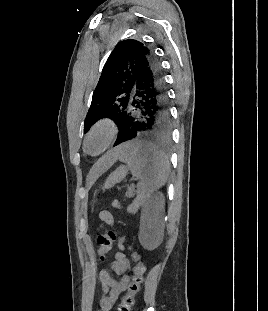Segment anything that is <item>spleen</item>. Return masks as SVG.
Listing matches in <instances>:
<instances>
[{
    "label": "spleen",
    "instance_id": "spleen-1",
    "mask_svg": "<svg viewBox=\"0 0 268 311\" xmlns=\"http://www.w3.org/2000/svg\"><path fill=\"white\" fill-rule=\"evenodd\" d=\"M116 150L132 176L139 180L137 197L128 207V210L137 212L149 203L154 191L167 182L169 161L148 140H122L121 144L116 145Z\"/></svg>",
    "mask_w": 268,
    "mask_h": 311
}]
</instances>
